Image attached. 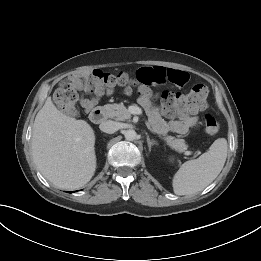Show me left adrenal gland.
<instances>
[{"mask_svg":"<svg viewBox=\"0 0 261 261\" xmlns=\"http://www.w3.org/2000/svg\"><path fill=\"white\" fill-rule=\"evenodd\" d=\"M147 144L149 151H151V147L154 145H158V143L155 140H150L149 136H147Z\"/></svg>","mask_w":261,"mask_h":261,"instance_id":"a2214340","label":"left adrenal gland"}]
</instances>
